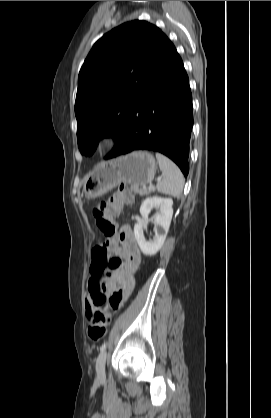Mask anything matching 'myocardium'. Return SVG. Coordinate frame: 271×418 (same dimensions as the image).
I'll use <instances>...</instances> for the list:
<instances>
[{
	"instance_id": "myocardium-1",
	"label": "myocardium",
	"mask_w": 271,
	"mask_h": 418,
	"mask_svg": "<svg viewBox=\"0 0 271 418\" xmlns=\"http://www.w3.org/2000/svg\"><path fill=\"white\" fill-rule=\"evenodd\" d=\"M115 139V135L113 133H106L101 136L100 143H109Z\"/></svg>"
}]
</instances>
